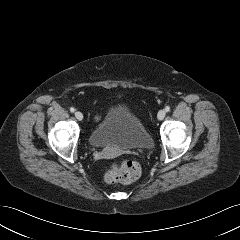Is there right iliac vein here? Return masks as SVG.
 I'll use <instances>...</instances> for the list:
<instances>
[{
  "label": "right iliac vein",
  "mask_w": 240,
  "mask_h": 240,
  "mask_svg": "<svg viewBox=\"0 0 240 240\" xmlns=\"http://www.w3.org/2000/svg\"><path fill=\"white\" fill-rule=\"evenodd\" d=\"M75 117H76L79 121L83 120V114H82L81 112H79V111H76V112H75Z\"/></svg>",
  "instance_id": "right-iliac-vein-1"
}]
</instances>
